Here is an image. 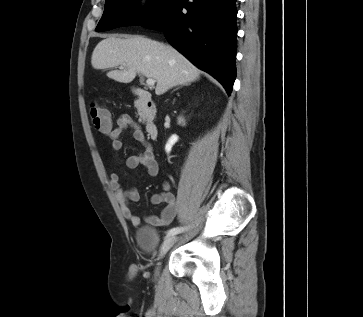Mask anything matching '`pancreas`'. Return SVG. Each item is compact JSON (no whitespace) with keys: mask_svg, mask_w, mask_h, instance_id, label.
Returning <instances> with one entry per match:
<instances>
[{"mask_svg":"<svg viewBox=\"0 0 363 317\" xmlns=\"http://www.w3.org/2000/svg\"><path fill=\"white\" fill-rule=\"evenodd\" d=\"M139 115H140V121H141L142 119L144 120L143 115H142L141 113H139Z\"/></svg>","mask_w":363,"mask_h":317,"instance_id":"obj_1","label":"pancreas"}]
</instances>
